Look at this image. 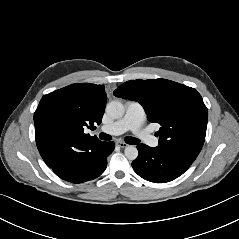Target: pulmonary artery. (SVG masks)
<instances>
[{
    "mask_svg": "<svg viewBox=\"0 0 239 239\" xmlns=\"http://www.w3.org/2000/svg\"><path fill=\"white\" fill-rule=\"evenodd\" d=\"M144 121L145 111L143 107L138 102L128 101L125 104L124 116L111 125L103 126L101 131L111 135H119L130 130L138 139L148 146L156 147L158 145V139L154 135L143 130L142 126Z\"/></svg>",
    "mask_w": 239,
    "mask_h": 239,
    "instance_id": "pulmonary-artery-1",
    "label": "pulmonary artery"
}]
</instances>
